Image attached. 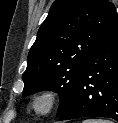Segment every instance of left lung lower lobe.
Here are the masks:
<instances>
[{"label": "left lung lower lobe", "mask_w": 118, "mask_h": 123, "mask_svg": "<svg viewBox=\"0 0 118 123\" xmlns=\"http://www.w3.org/2000/svg\"><path fill=\"white\" fill-rule=\"evenodd\" d=\"M81 117L118 121V20L92 51L58 121Z\"/></svg>", "instance_id": "0a47b994"}]
</instances>
